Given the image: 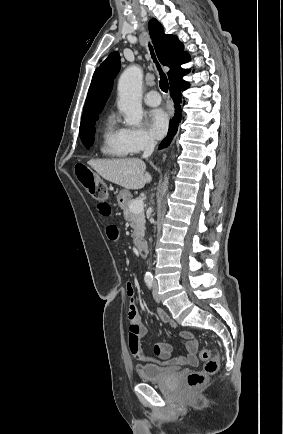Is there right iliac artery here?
<instances>
[{
    "mask_svg": "<svg viewBox=\"0 0 283 434\" xmlns=\"http://www.w3.org/2000/svg\"><path fill=\"white\" fill-rule=\"evenodd\" d=\"M145 283L148 286V288H152L153 286V277L152 276H145Z\"/></svg>",
    "mask_w": 283,
    "mask_h": 434,
    "instance_id": "right-iliac-artery-1",
    "label": "right iliac artery"
}]
</instances>
